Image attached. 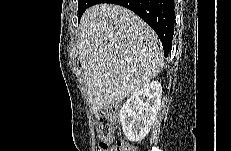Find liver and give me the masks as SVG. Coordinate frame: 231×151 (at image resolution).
<instances>
[{
	"mask_svg": "<svg viewBox=\"0 0 231 151\" xmlns=\"http://www.w3.org/2000/svg\"><path fill=\"white\" fill-rule=\"evenodd\" d=\"M78 49L93 112L134 95L163 67L156 33L132 11L115 4L86 9Z\"/></svg>",
	"mask_w": 231,
	"mask_h": 151,
	"instance_id": "obj_1",
	"label": "liver"
}]
</instances>
